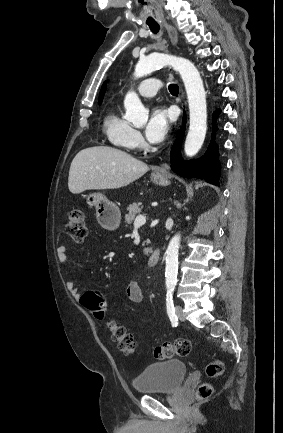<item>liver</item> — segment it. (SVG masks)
<instances>
[{"label":"liver","mask_w":283,"mask_h":433,"mask_svg":"<svg viewBox=\"0 0 283 433\" xmlns=\"http://www.w3.org/2000/svg\"><path fill=\"white\" fill-rule=\"evenodd\" d=\"M149 170L148 164L111 146H90L74 156L68 178L70 192L88 188H120Z\"/></svg>","instance_id":"1"}]
</instances>
